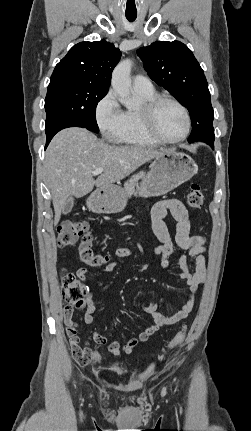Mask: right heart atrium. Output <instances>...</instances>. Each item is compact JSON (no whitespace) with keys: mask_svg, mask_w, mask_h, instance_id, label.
I'll return each instance as SVG.
<instances>
[{"mask_svg":"<svg viewBox=\"0 0 251 431\" xmlns=\"http://www.w3.org/2000/svg\"><path fill=\"white\" fill-rule=\"evenodd\" d=\"M124 113L115 93L109 90L95 106V120L101 133L108 139H115L124 124Z\"/></svg>","mask_w":251,"mask_h":431,"instance_id":"obj_1","label":"right heart atrium"}]
</instances>
